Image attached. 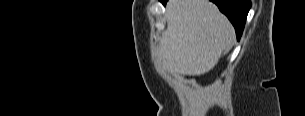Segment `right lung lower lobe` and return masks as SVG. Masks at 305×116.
<instances>
[{"instance_id":"98d812e1","label":"right lung lower lobe","mask_w":305,"mask_h":116,"mask_svg":"<svg viewBox=\"0 0 305 116\" xmlns=\"http://www.w3.org/2000/svg\"><path fill=\"white\" fill-rule=\"evenodd\" d=\"M164 5L166 4L167 0H160ZM215 3L219 10L224 13L228 19L233 24L237 39L239 40L244 25L246 22L247 14L251 8V1L250 0H211Z\"/></svg>"}]
</instances>
